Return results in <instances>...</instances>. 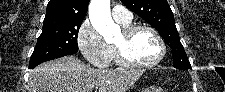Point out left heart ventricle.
I'll return each instance as SVG.
<instances>
[{
	"mask_svg": "<svg viewBox=\"0 0 225 92\" xmlns=\"http://www.w3.org/2000/svg\"><path fill=\"white\" fill-rule=\"evenodd\" d=\"M123 43L124 35L122 33L115 44L122 45ZM126 52L131 59L139 63H149L158 57L160 48L151 32L140 30L133 35L126 45Z\"/></svg>",
	"mask_w": 225,
	"mask_h": 92,
	"instance_id": "b2bd125f",
	"label": "left heart ventricle"
}]
</instances>
